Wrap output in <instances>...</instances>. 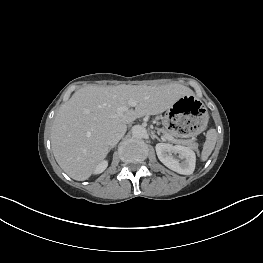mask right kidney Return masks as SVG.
<instances>
[{"label":"right kidney","mask_w":263,"mask_h":263,"mask_svg":"<svg viewBox=\"0 0 263 263\" xmlns=\"http://www.w3.org/2000/svg\"><path fill=\"white\" fill-rule=\"evenodd\" d=\"M108 166V162L107 161H101L96 168L94 169V173L95 174H100L102 173Z\"/></svg>","instance_id":"ca27d5eb"}]
</instances>
